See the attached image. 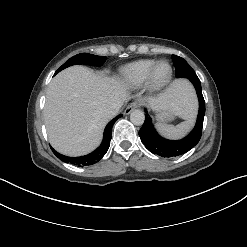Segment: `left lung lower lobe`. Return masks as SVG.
I'll return each mask as SVG.
<instances>
[{
  "instance_id": "0a47b994",
  "label": "left lung lower lobe",
  "mask_w": 247,
  "mask_h": 247,
  "mask_svg": "<svg viewBox=\"0 0 247 247\" xmlns=\"http://www.w3.org/2000/svg\"><path fill=\"white\" fill-rule=\"evenodd\" d=\"M194 85L199 99V113L197 122L191 133L185 138L177 141L162 138L154 126L145 109V122L139 130V136L145 147L152 153L162 157H173L186 153L200 140L202 134L203 120L205 115V101L202 95L201 83L197 76L188 78Z\"/></svg>"
}]
</instances>
